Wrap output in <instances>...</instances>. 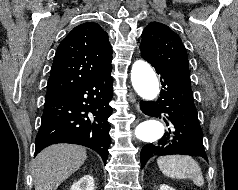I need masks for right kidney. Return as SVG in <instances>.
Wrapping results in <instances>:
<instances>
[{
  "label": "right kidney",
  "instance_id": "ca27d5eb",
  "mask_svg": "<svg viewBox=\"0 0 238 190\" xmlns=\"http://www.w3.org/2000/svg\"><path fill=\"white\" fill-rule=\"evenodd\" d=\"M70 190H95L94 179L91 175H85L75 182Z\"/></svg>",
  "mask_w": 238,
  "mask_h": 190
}]
</instances>
